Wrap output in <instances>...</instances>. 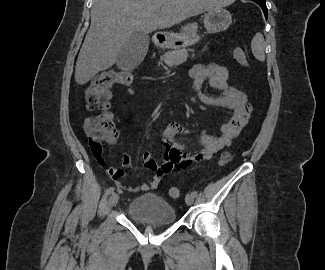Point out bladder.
<instances>
[{
  "label": "bladder",
  "mask_w": 325,
  "mask_h": 270,
  "mask_svg": "<svg viewBox=\"0 0 325 270\" xmlns=\"http://www.w3.org/2000/svg\"><path fill=\"white\" fill-rule=\"evenodd\" d=\"M130 218L146 225H168L176 221L173 206L154 193L143 194L134 198L127 207Z\"/></svg>",
  "instance_id": "obj_1"
}]
</instances>
